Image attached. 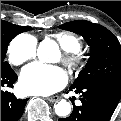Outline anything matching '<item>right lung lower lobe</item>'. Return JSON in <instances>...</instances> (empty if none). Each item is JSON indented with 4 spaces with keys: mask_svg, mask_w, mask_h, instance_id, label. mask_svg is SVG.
<instances>
[{
    "mask_svg": "<svg viewBox=\"0 0 121 121\" xmlns=\"http://www.w3.org/2000/svg\"><path fill=\"white\" fill-rule=\"evenodd\" d=\"M16 73L9 68H1V88L13 87L17 80ZM27 99H17L8 91L1 90V121H18L24 112Z\"/></svg>",
    "mask_w": 121,
    "mask_h": 121,
    "instance_id": "98d812e1",
    "label": "right lung lower lobe"
}]
</instances>
